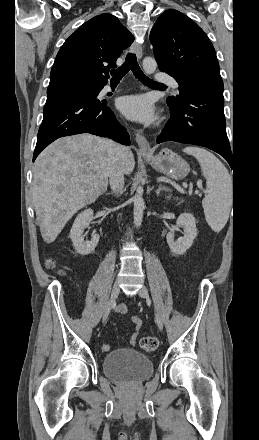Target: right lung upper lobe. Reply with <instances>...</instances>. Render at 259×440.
I'll list each match as a JSON object with an SVG mask.
<instances>
[{
  "label": "right lung upper lobe",
  "instance_id": "1",
  "mask_svg": "<svg viewBox=\"0 0 259 440\" xmlns=\"http://www.w3.org/2000/svg\"><path fill=\"white\" fill-rule=\"evenodd\" d=\"M134 38L111 14L93 17L60 48L51 69L47 94L77 87L103 88L108 70Z\"/></svg>",
  "mask_w": 259,
  "mask_h": 440
}]
</instances>
